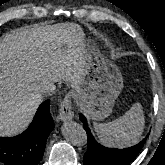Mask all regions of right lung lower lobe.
<instances>
[{"label":"right lung lower lobe","mask_w":165,"mask_h":165,"mask_svg":"<svg viewBox=\"0 0 165 165\" xmlns=\"http://www.w3.org/2000/svg\"><path fill=\"white\" fill-rule=\"evenodd\" d=\"M49 102L46 100L39 106L32 123L22 134L0 137V162L6 165H38L46 139L55 126Z\"/></svg>","instance_id":"98d812e1"}]
</instances>
